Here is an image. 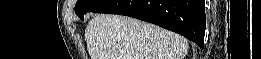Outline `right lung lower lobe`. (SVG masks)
Returning <instances> with one entry per match:
<instances>
[{"label":"right lung lower lobe","instance_id":"1","mask_svg":"<svg viewBox=\"0 0 261 59\" xmlns=\"http://www.w3.org/2000/svg\"><path fill=\"white\" fill-rule=\"evenodd\" d=\"M94 13L134 17L183 35L203 47L204 0H109Z\"/></svg>","mask_w":261,"mask_h":59}]
</instances>
